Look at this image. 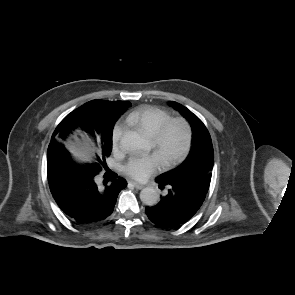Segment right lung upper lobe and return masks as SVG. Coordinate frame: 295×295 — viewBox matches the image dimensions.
<instances>
[{
  "instance_id": "right-lung-upper-lobe-1",
  "label": "right lung upper lobe",
  "mask_w": 295,
  "mask_h": 295,
  "mask_svg": "<svg viewBox=\"0 0 295 295\" xmlns=\"http://www.w3.org/2000/svg\"><path fill=\"white\" fill-rule=\"evenodd\" d=\"M127 103V101L92 100L82 105L79 109L86 111V115L90 118V127L88 129L80 128V130L90 135L93 134L95 128H98L104 119L120 116ZM73 112L68 114L67 117L64 118L58 125L53 133L50 144H58L65 149L62 144V140L66 138L72 130H74L72 122Z\"/></svg>"
}]
</instances>
